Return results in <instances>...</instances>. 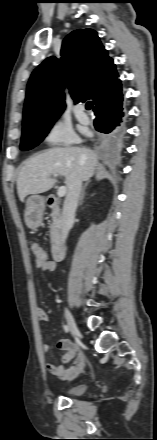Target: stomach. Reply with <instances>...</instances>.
I'll use <instances>...</instances> for the list:
<instances>
[{"label":"stomach","mask_w":157,"mask_h":440,"mask_svg":"<svg viewBox=\"0 0 157 440\" xmlns=\"http://www.w3.org/2000/svg\"><path fill=\"white\" fill-rule=\"evenodd\" d=\"M45 200L40 196L28 198L25 205L24 220L30 229L38 228L43 220Z\"/></svg>","instance_id":"stomach-1"}]
</instances>
